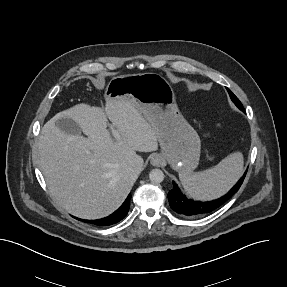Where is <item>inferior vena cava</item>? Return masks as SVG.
Returning <instances> with one entry per match:
<instances>
[{
    "label": "inferior vena cava",
    "mask_w": 287,
    "mask_h": 287,
    "mask_svg": "<svg viewBox=\"0 0 287 287\" xmlns=\"http://www.w3.org/2000/svg\"><path fill=\"white\" fill-rule=\"evenodd\" d=\"M131 166L135 171L140 172L143 166V159L140 156H137V158L132 162Z\"/></svg>",
    "instance_id": "inferior-vena-cava-1"
}]
</instances>
